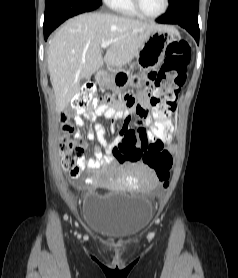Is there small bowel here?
Segmentation results:
<instances>
[{
  "instance_id": "c3829d8e",
  "label": "small bowel",
  "mask_w": 238,
  "mask_h": 278,
  "mask_svg": "<svg viewBox=\"0 0 238 278\" xmlns=\"http://www.w3.org/2000/svg\"><path fill=\"white\" fill-rule=\"evenodd\" d=\"M147 81H156V76H159L158 67H149V71H146ZM146 98H153V93H142L139 102L136 104V100H123V106L116 105H102L96 111L89 113L81 110H76L73 115V121L76 126L82 127L85 124L84 118L89 119L93 123L94 131L87 133L88 139L96 138L99 142V147L94 150V156L92 158H81L80 166L82 169H97L103 165L111 164L113 161L112 150L114 147L122 143L130 144H142L143 137L152 139V135L149 132V119L148 116H139L137 113H150L151 109L148 106ZM133 114H137L140 120L137 123V130L129 128V122ZM102 116L106 119L116 122L118 120L123 121V127L120 131V135L112 142L108 143L105 138V129L99 122L96 121V117ZM70 114L67 111L62 112L59 115V122L62 126V130L65 134H71L73 127L68 123ZM69 124L71 130H66L65 125ZM75 138L83 145L82 135L76 133ZM172 139V135L159 136L158 140H153L155 144H162V149L175 150L174 146L168 148L165 147L166 143H169ZM102 149H106L108 154H104ZM171 156V154H169ZM148 167V166H147ZM149 172L144 177V183L147 187H153L157 184V176L155 172L149 168Z\"/></svg>"
}]
</instances>
